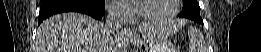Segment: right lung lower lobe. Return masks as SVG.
Segmentation results:
<instances>
[{
    "label": "right lung lower lobe",
    "instance_id": "98d812e1",
    "mask_svg": "<svg viewBox=\"0 0 261 52\" xmlns=\"http://www.w3.org/2000/svg\"><path fill=\"white\" fill-rule=\"evenodd\" d=\"M69 11L88 14L99 20L105 13V0H41L38 24L49 16Z\"/></svg>",
    "mask_w": 261,
    "mask_h": 52
}]
</instances>
